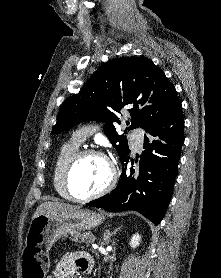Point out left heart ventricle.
<instances>
[{
    "instance_id": "left-heart-ventricle-1",
    "label": "left heart ventricle",
    "mask_w": 221,
    "mask_h": 278,
    "mask_svg": "<svg viewBox=\"0 0 221 278\" xmlns=\"http://www.w3.org/2000/svg\"><path fill=\"white\" fill-rule=\"evenodd\" d=\"M109 179L107 163L100 157L87 156L81 159L70 175L72 192L83 197L99 191Z\"/></svg>"
}]
</instances>
